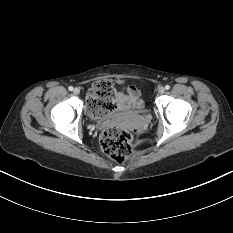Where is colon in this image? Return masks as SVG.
<instances>
[{"label": "colon", "mask_w": 233, "mask_h": 233, "mask_svg": "<svg viewBox=\"0 0 233 233\" xmlns=\"http://www.w3.org/2000/svg\"><path fill=\"white\" fill-rule=\"evenodd\" d=\"M89 113L102 117L117 109V96L113 84L108 80L96 82L87 101ZM100 144L107 156L117 162H123L133 152L132 135L122 127H110L100 136Z\"/></svg>", "instance_id": "5ec220e1"}]
</instances>
